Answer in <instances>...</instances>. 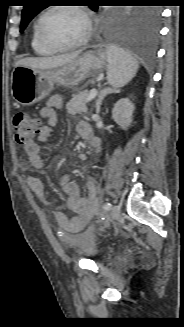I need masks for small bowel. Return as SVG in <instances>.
Instances as JSON below:
<instances>
[{
	"instance_id": "small-bowel-1",
	"label": "small bowel",
	"mask_w": 184,
	"mask_h": 327,
	"mask_svg": "<svg viewBox=\"0 0 184 327\" xmlns=\"http://www.w3.org/2000/svg\"><path fill=\"white\" fill-rule=\"evenodd\" d=\"M63 99L60 96H52L45 107H43L39 116L47 120V125L41 127L36 140L25 144L24 150L27 154L34 169H41L43 159L40 155L41 144L46 143L47 139L53 134L57 124V114L55 108L62 107ZM77 133L85 140L90 142L94 147L99 148L100 142L96 138L91 128L86 123H80L76 127ZM62 191L67 198V206L71 211V215L54 210V215L61 229L69 233H77L82 231L89 220L94 217L98 211L97 186L94 179H88L85 182L87 194L82 196L79 187L67 176L59 177ZM29 185L36 197L45 204L52 202L51 196L43 182L37 177L29 179Z\"/></svg>"
}]
</instances>
